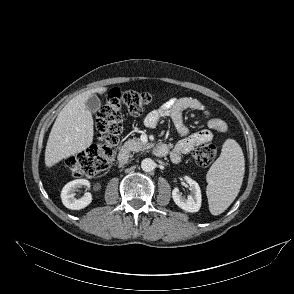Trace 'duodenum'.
I'll return each instance as SVG.
<instances>
[{
  "label": "duodenum",
  "instance_id": "1",
  "mask_svg": "<svg viewBox=\"0 0 294 294\" xmlns=\"http://www.w3.org/2000/svg\"><path fill=\"white\" fill-rule=\"evenodd\" d=\"M168 152H169V146L165 143L157 144L153 147V153L157 157H164L168 154ZM128 159H129L128 150L126 149L120 150L118 153V161L121 164H126L128 162Z\"/></svg>",
  "mask_w": 294,
  "mask_h": 294
}]
</instances>
